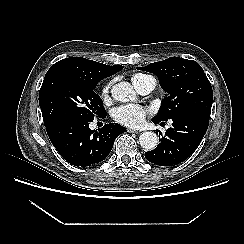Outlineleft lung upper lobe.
I'll return each instance as SVG.
<instances>
[{
    "mask_svg": "<svg viewBox=\"0 0 244 244\" xmlns=\"http://www.w3.org/2000/svg\"><path fill=\"white\" fill-rule=\"evenodd\" d=\"M137 69L155 74L162 89L169 94L162 101L155 120L165 121L188 112L210 117L213 91L196 61L170 57Z\"/></svg>",
    "mask_w": 244,
    "mask_h": 244,
    "instance_id": "obj_1",
    "label": "left lung upper lobe"
}]
</instances>
